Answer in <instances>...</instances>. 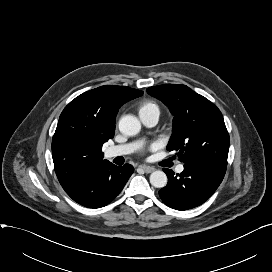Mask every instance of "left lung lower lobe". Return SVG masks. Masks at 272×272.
Here are the masks:
<instances>
[{
	"label": "left lung lower lobe",
	"mask_w": 272,
	"mask_h": 272,
	"mask_svg": "<svg viewBox=\"0 0 272 272\" xmlns=\"http://www.w3.org/2000/svg\"><path fill=\"white\" fill-rule=\"evenodd\" d=\"M227 168L224 161H198L184 165L182 173L168 176L167 185L159 191L162 201L176 210H187L203 204L222 182Z\"/></svg>",
	"instance_id": "left-lung-lower-lobe-1"
}]
</instances>
